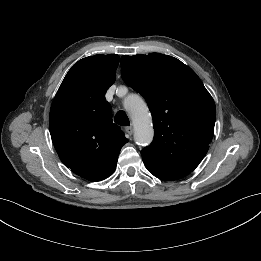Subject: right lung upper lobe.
<instances>
[{"instance_id":"obj_1","label":"right lung upper lobe","mask_w":261,"mask_h":261,"mask_svg":"<svg viewBox=\"0 0 261 261\" xmlns=\"http://www.w3.org/2000/svg\"><path fill=\"white\" fill-rule=\"evenodd\" d=\"M118 55H95L75 63L51 106L50 134L61 161L75 174L100 181L111 175L128 142L113 123L106 90L114 83Z\"/></svg>"}]
</instances>
